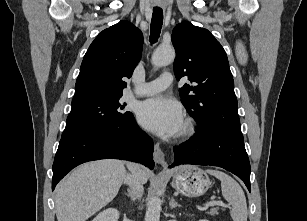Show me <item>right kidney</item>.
<instances>
[{
    "label": "right kidney",
    "mask_w": 307,
    "mask_h": 221,
    "mask_svg": "<svg viewBox=\"0 0 307 221\" xmlns=\"http://www.w3.org/2000/svg\"><path fill=\"white\" fill-rule=\"evenodd\" d=\"M119 211L115 208H108L100 212L92 221H118Z\"/></svg>",
    "instance_id": "ca27d5eb"
}]
</instances>
